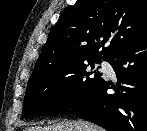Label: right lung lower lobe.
I'll list each match as a JSON object with an SVG mask.
<instances>
[{
  "label": "right lung lower lobe",
  "mask_w": 147,
  "mask_h": 131,
  "mask_svg": "<svg viewBox=\"0 0 147 131\" xmlns=\"http://www.w3.org/2000/svg\"><path fill=\"white\" fill-rule=\"evenodd\" d=\"M108 62L117 84L100 79L70 109L107 131H147V37L118 51ZM111 88L116 92L108 94Z\"/></svg>",
  "instance_id": "obj_1"
}]
</instances>
